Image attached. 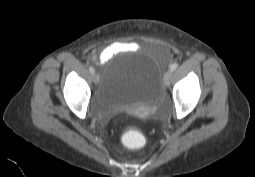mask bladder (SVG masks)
Listing matches in <instances>:
<instances>
[{
  "label": "bladder",
  "instance_id": "31cf9c89",
  "mask_svg": "<svg viewBox=\"0 0 255 177\" xmlns=\"http://www.w3.org/2000/svg\"><path fill=\"white\" fill-rule=\"evenodd\" d=\"M97 98L108 108L157 107L162 98V68L151 55L129 54L110 66Z\"/></svg>",
  "mask_w": 255,
  "mask_h": 177
}]
</instances>
